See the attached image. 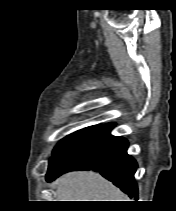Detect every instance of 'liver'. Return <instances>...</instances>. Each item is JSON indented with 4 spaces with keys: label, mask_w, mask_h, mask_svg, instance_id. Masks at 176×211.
I'll list each match as a JSON object with an SVG mask.
<instances>
[{
    "label": "liver",
    "mask_w": 176,
    "mask_h": 211,
    "mask_svg": "<svg viewBox=\"0 0 176 211\" xmlns=\"http://www.w3.org/2000/svg\"><path fill=\"white\" fill-rule=\"evenodd\" d=\"M54 186L59 201H128V197L96 172H70Z\"/></svg>",
    "instance_id": "1"
}]
</instances>
